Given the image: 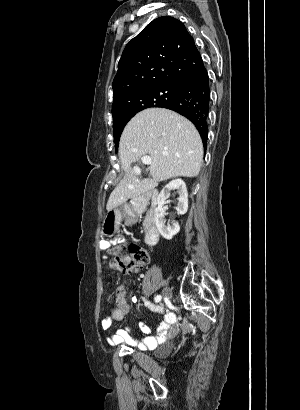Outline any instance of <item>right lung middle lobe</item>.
Returning a JSON list of instances; mask_svg holds the SVG:
<instances>
[{
  "label": "right lung middle lobe",
  "mask_w": 300,
  "mask_h": 410,
  "mask_svg": "<svg viewBox=\"0 0 300 410\" xmlns=\"http://www.w3.org/2000/svg\"><path fill=\"white\" fill-rule=\"evenodd\" d=\"M180 88L181 86H162L136 93L128 105V110L123 115L113 118L116 151L125 125L137 112L149 107H161L164 103L170 102Z\"/></svg>",
  "instance_id": "dd1d6c3e"
}]
</instances>
